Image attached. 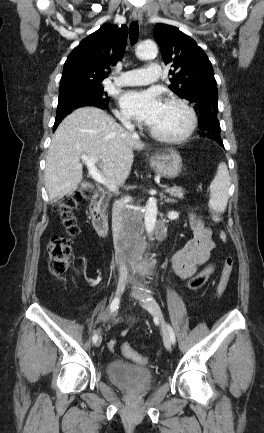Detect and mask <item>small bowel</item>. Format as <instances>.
Returning <instances> with one entry per match:
<instances>
[{
    "instance_id": "obj_1",
    "label": "small bowel",
    "mask_w": 264,
    "mask_h": 433,
    "mask_svg": "<svg viewBox=\"0 0 264 433\" xmlns=\"http://www.w3.org/2000/svg\"><path fill=\"white\" fill-rule=\"evenodd\" d=\"M190 225L192 238L184 243L171 258L173 270L181 280L191 278L198 268L209 260L211 251L215 246L211 231L204 226L201 219L192 216ZM120 334L126 335L127 330L121 331ZM115 345V339L108 342V348L111 350Z\"/></svg>"
}]
</instances>
